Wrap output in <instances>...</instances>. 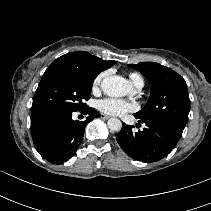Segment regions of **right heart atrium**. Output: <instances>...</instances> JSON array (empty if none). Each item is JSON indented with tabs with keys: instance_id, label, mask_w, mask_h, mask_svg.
Wrapping results in <instances>:
<instances>
[{
	"instance_id": "right-heart-atrium-1",
	"label": "right heart atrium",
	"mask_w": 211,
	"mask_h": 211,
	"mask_svg": "<svg viewBox=\"0 0 211 211\" xmlns=\"http://www.w3.org/2000/svg\"><path fill=\"white\" fill-rule=\"evenodd\" d=\"M105 76V73H100L93 81V89L96 90L99 88L103 78Z\"/></svg>"
}]
</instances>
